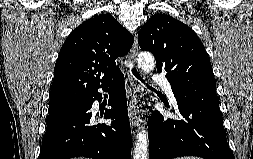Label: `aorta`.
Wrapping results in <instances>:
<instances>
[{"label": "aorta", "mask_w": 253, "mask_h": 159, "mask_svg": "<svg viewBox=\"0 0 253 159\" xmlns=\"http://www.w3.org/2000/svg\"><path fill=\"white\" fill-rule=\"evenodd\" d=\"M138 66L143 72H150L155 66V59L151 53L141 52L138 55ZM133 159H148V135L147 131H139L134 146Z\"/></svg>", "instance_id": "aorta-1"}]
</instances>
